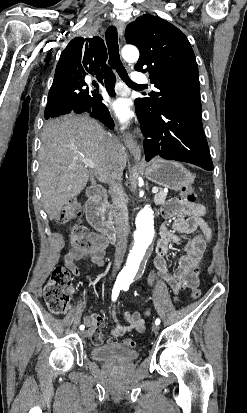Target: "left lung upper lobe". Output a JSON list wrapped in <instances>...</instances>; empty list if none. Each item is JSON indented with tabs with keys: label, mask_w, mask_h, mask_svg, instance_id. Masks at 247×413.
Masks as SVG:
<instances>
[{
	"label": "left lung upper lobe",
	"mask_w": 247,
	"mask_h": 413,
	"mask_svg": "<svg viewBox=\"0 0 247 413\" xmlns=\"http://www.w3.org/2000/svg\"><path fill=\"white\" fill-rule=\"evenodd\" d=\"M125 38L140 50L135 69L149 72L157 91L135 100L143 117L160 109L177 108L201 115L198 66L187 37L157 16L145 14L126 27Z\"/></svg>",
	"instance_id": "1"
}]
</instances>
